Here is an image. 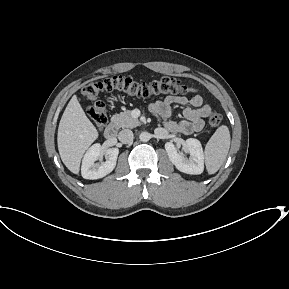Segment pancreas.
I'll return each instance as SVG.
<instances>
[{
  "mask_svg": "<svg viewBox=\"0 0 289 289\" xmlns=\"http://www.w3.org/2000/svg\"><path fill=\"white\" fill-rule=\"evenodd\" d=\"M111 121L117 128H135L140 125L139 120L132 117L129 110L116 113L112 116Z\"/></svg>",
  "mask_w": 289,
  "mask_h": 289,
  "instance_id": "cf45deb5",
  "label": "pancreas"
}]
</instances>
